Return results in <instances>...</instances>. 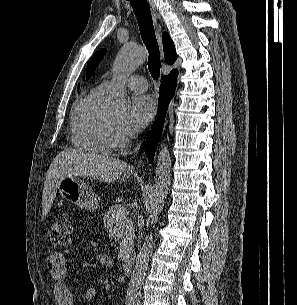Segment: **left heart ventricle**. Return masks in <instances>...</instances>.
<instances>
[{
  "instance_id": "left-heart-ventricle-1",
  "label": "left heart ventricle",
  "mask_w": 297,
  "mask_h": 305,
  "mask_svg": "<svg viewBox=\"0 0 297 305\" xmlns=\"http://www.w3.org/2000/svg\"><path fill=\"white\" fill-rule=\"evenodd\" d=\"M111 120L113 121V123H114L120 130H123V128H122L123 117H121V116H111Z\"/></svg>"
}]
</instances>
